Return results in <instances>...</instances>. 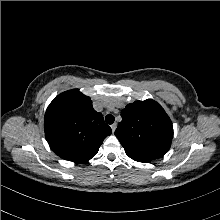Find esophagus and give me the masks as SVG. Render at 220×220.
<instances>
[{"mask_svg": "<svg viewBox=\"0 0 220 220\" xmlns=\"http://www.w3.org/2000/svg\"><path fill=\"white\" fill-rule=\"evenodd\" d=\"M116 128H117V123H113L111 125L112 132H114L116 130Z\"/></svg>", "mask_w": 220, "mask_h": 220, "instance_id": "34e87169", "label": "esophagus"}]
</instances>
